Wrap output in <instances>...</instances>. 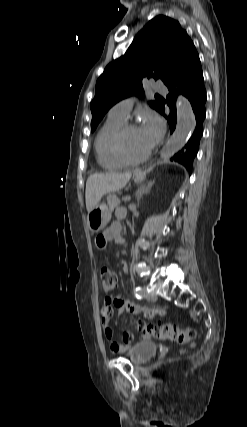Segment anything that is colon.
Returning <instances> with one entry per match:
<instances>
[{"label":"colon","mask_w":247,"mask_h":427,"mask_svg":"<svg viewBox=\"0 0 247 427\" xmlns=\"http://www.w3.org/2000/svg\"><path fill=\"white\" fill-rule=\"evenodd\" d=\"M101 287L105 293L111 292L117 285L116 274L107 267L100 269ZM133 325L148 338L159 340L174 341L179 344H187L195 337V331L192 328H179L173 324H161L154 326L146 324L141 320L133 321Z\"/></svg>","instance_id":"colon-1"}]
</instances>
